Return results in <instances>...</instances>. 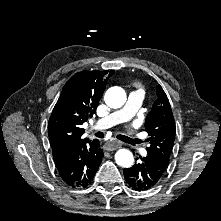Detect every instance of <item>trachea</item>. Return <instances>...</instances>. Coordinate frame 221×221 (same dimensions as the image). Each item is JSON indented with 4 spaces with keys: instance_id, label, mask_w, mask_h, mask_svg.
<instances>
[{
    "instance_id": "1",
    "label": "trachea",
    "mask_w": 221,
    "mask_h": 221,
    "mask_svg": "<svg viewBox=\"0 0 221 221\" xmlns=\"http://www.w3.org/2000/svg\"><path fill=\"white\" fill-rule=\"evenodd\" d=\"M95 136L98 137V138H103L104 134H103V132H97V133H95ZM122 137L123 136L119 135L117 138L122 139Z\"/></svg>"
}]
</instances>
